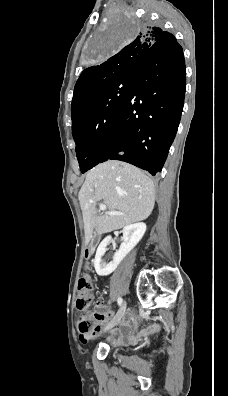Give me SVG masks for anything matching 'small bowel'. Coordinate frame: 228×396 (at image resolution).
<instances>
[{"mask_svg": "<svg viewBox=\"0 0 228 396\" xmlns=\"http://www.w3.org/2000/svg\"><path fill=\"white\" fill-rule=\"evenodd\" d=\"M99 308L100 311L97 313V323L94 329L87 334L80 333L79 335L80 341L84 344L95 337L113 316V311L106 306L100 305ZM118 325L119 326L111 330L108 335V339L114 343L122 341L133 342L138 340L145 333L144 329L138 331L137 325L133 323L132 313H129Z\"/></svg>", "mask_w": 228, "mask_h": 396, "instance_id": "small-bowel-1", "label": "small bowel"}]
</instances>
